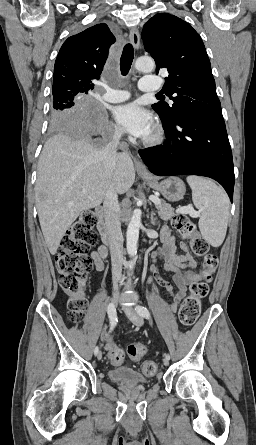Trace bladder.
I'll use <instances>...</instances> for the list:
<instances>
[{
	"instance_id": "obj_1",
	"label": "bladder",
	"mask_w": 256,
	"mask_h": 445,
	"mask_svg": "<svg viewBox=\"0 0 256 445\" xmlns=\"http://www.w3.org/2000/svg\"><path fill=\"white\" fill-rule=\"evenodd\" d=\"M107 375L113 383L125 386L148 385L150 383V379L128 366L112 368L108 370Z\"/></svg>"
}]
</instances>
